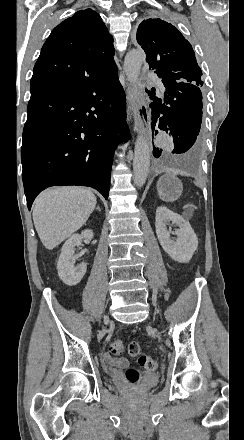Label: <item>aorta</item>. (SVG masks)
<instances>
[{"mask_svg":"<svg viewBox=\"0 0 244 440\" xmlns=\"http://www.w3.org/2000/svg\"><path fill=\"white\" fill-rule=\"evenodd\" d=\"M145 61V53L142 50L129 51L124 60V70L127 79L134 85L139 81L140 69ZM150 166V143L149 139L140 132L135 141L133 159V181L138 187H142L147 179Z\"/></svg>","mask_w":244,"mask_h":440,"instance_id":"762f6f07","label":"aorta"}]
</instances>
